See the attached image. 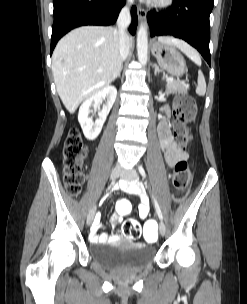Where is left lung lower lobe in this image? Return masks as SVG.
Returning a JSON list of instances; mask_svg holds the SVG:
<instances>
[{
    "label": "left lung lower lobe",
    "instance_id": "left-lung-lower-lobe-1",
    "mask_svg": "<svg viewBox=\"0 0 247 304\" xmlns=\"http://www.w3.org/2000/svg\"><path fill=\"white\" fill-rule=\"evenodd\" d=\"M213 5L214 0H173L169 10L148 13L151 36L181 38L195 47L210 65L209 16Z\"/></svg>",
    "mask_w": 247,
    "mask_h": 304
}]
</instances>
